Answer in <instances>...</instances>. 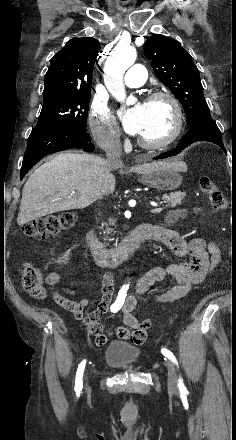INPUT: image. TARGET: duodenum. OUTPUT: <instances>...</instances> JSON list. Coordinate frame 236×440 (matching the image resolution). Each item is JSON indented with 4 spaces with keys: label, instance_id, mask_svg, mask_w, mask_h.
I'll return each mask as SVG.
<instances>
[{
    "label": "duodenum",
    "instance_id": "410a0bca",
    "mask_svg": "<svg viewBox=\"0 0 236 440\" xmlns=\"http://www.w3.org/2000/svg\"><path fill=\"white\" fill-rule=\"evenodd\" d=\"M154 226L141 224L136 226L128 235L126 240L117 248L107 249L96 237L93 230L85 234V243L90 249L95 262L104 268L118 267L134 250L145 240L152 238Z\"/></svg>",
    "mask_w": 236,
    "mask_h": 440
}]
</instances>
